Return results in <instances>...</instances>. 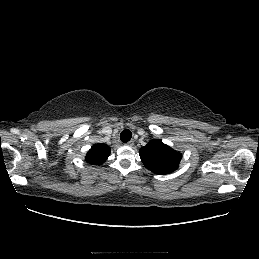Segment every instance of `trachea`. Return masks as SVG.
Wrapping results in <instances>:
<instances>
[{
  "label": "trachea",
  "mask_w": 259,
  "mask_h": 259,
  "mask_svg": "<svg viewBox=\"0 0 259 259\" xmlns=\"http://www.w3.org/2000/svg\"><path fill=\"white\" fill-rule=\"evenodd\" d=\"M132 138V133L130 130L125 129L120 134V139L122 142L127 143Z\"/></svg>",
  "instance_id": "trachea-1"
}]
</instances>
